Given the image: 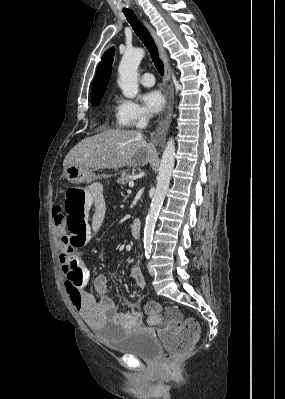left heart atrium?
I'll list each match as a JSON object with an SVG mask.
<instances>
[{"mask_svg": "<svg viewBox=\"0 0 285 399\" xmlns=\"http://www.w3.org/2000/svg\"><path fill=\"white\" fill-rule=\"evenodd\" d=\"M146 110L151 114H156L162 110L165 104L162 93L158 90H151L142 97Z\"/></svg>", "mask_w": 285, "mask_h": 399, "instance_id": "obj_1", "label": "left heart atrium"}]
</instances>
